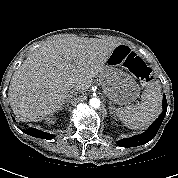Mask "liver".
Returning <instances> with one entry per match:
<instances>
[{
  "label": "liver",
  "instance_id": "6515ba94",
  "mask_svg": "<svg viewBox=\"0 0 178 178\" xmlns=\"http://www.w3.org/2000/svg\"><path fill=\"white\" fill-rule=\"evenodd\" d=\"M119 44L68 37L39 46L12 76L8 98L14 115L22 122L41 121L60 110L73 89H89Z\"/></svg>",
  "mask_w": 178,
  "mask_h": 178
}]
</instances>
